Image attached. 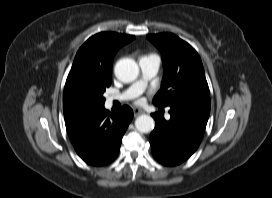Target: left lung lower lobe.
<instances>
[{
	"instance_id": "1",
	"label": "left lung lower lobe",
	"mask_w": 272,
	"mask_h": 198,
	"mask_svg": "<svg viewBox=\"0 0 272 198\" xmlns=\"http://www.w3.org/2000/svg\"><path fill=\"white\" fill-rule=\"evenodd\" d=\"M169 113V121L158 113L152 114L156 125L150 134V144L158 162L175 166L188 159L198 148L210 111L173 105Z\"/></svg>"
}]
</instances>
